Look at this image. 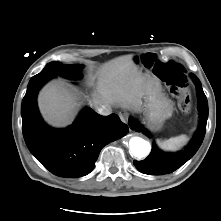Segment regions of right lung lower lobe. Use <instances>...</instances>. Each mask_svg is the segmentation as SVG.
<instances>
[{
	"label": "right lung lower lobe",
	"instance_id": "1",
	"mask_svg": "<svg viewBox=\"0 0 221 221\" xmlns=\"http://www.w3.org/2000/svg\"><path fill=\"white\" fill-rule=\"evenodd\" d=\"M49 75L31 78L21 106L22 131L27 147L51 173L77 178L90 173L101 149L126 135L128 126L116 114L101 116L84 109L72 126L48 127L38 112L36 97Z\"/></svg>",
	"mask_w": 221,
	"mask_h": 221
}]
</instances>
